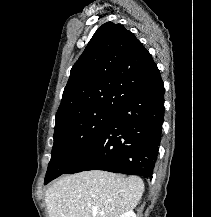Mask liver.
<instances>
[{"mask_svg": "<svg viewBox=\"0 0 211 217\" xmlns=\"http://www.w3.org/2000/svg\"><path fill=\"white\" fill-rule=\"evenodd\" d=\"M143 192L137 176L92 170L58 179L45 202L49 217H120L137 206Z\"/></svg>", "mask_w": 211, "mask_h": 217, "instance_id": "liver-1", "label": "liver"}]
</instances>
